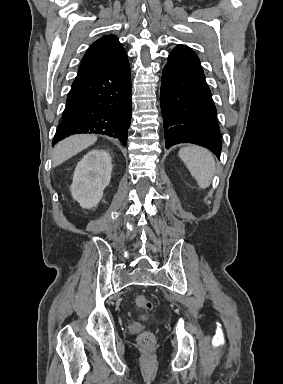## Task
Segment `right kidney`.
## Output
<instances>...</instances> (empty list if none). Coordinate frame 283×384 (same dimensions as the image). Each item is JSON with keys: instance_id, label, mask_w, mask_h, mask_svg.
Listing matches in <instances>:
<instances>
[{"instance_id": "1", "label": "right kidney", "mask_w": 283, "mask_h": 384, "mask_svg": "<svg viewBox=\"0 0 283 384\" xmlns=\"http://www.w3.org/2000/svg\"><path fill=\"white\" fill-rule=\"evenodd\" d=\"M112 160L105 150H91L78 162L73 174L71 194L81 208L91 210L99 204L109 186Z\"/></svg>"}]
</instances>
